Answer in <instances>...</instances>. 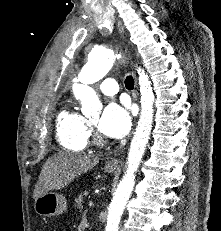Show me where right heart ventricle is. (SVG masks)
I'll list each match as a JSON object with an SVG mask.
<instances>
[{"instance_id": "right-heart-ventricle-1", "label": "right heart ventricle", "mask_w": 221, "mask_h": 231, "mask_svg": "<svg viewBox=\"0 0 221 231\" xmlns=\"http://www.w3.org/2000/svg\"><path fill=\"white\" fill-rule=\"evenodd\" d=\"M57 140L66 150L80 152L88 143L89 130L86 118L72 108L63 109L56 121Z\"/></svg>"}]
</instances>
